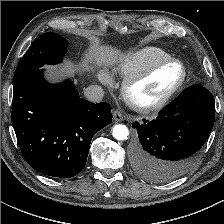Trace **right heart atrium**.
<instances>
[{
    "label": "right heart atrium",
    "mask_w": 224,
    "mask_h": 224,
    "mask_svg": "<svg viewBox=\"0 0 224 224\" xmlns=\"http://www.w3.org/2000/svg\"><path fill=\"white\" fill-rule=\"evenodd\" d=\"M99 80L103 84H110L111 83V77L105 72H101L99 74Z\"/></svg>",
    "instance_id": "d8ad5b80"
}]
</instances>
